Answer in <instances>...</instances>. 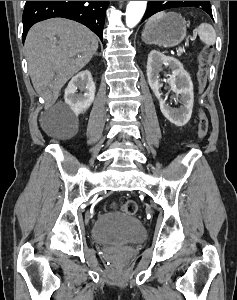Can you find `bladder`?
Returning a JSON list of instances; mask_svg holds the SVG:
<instances>
[{"mask_svg":"<svg viewBox=\"0 0 237 300\" xmlns=\"http://www.w3.org/2000/svg\"><path fill=\"white\" fill-rule=\"evenodd\" d=\"M145 234L140 220L116 211L99 215L91 228L92 239L98 244L138 243Z\"/></svg>","mask_w":237,"mask_h":300,"instance_id":"bladder-1","label":"bladder"}]
</instances>
